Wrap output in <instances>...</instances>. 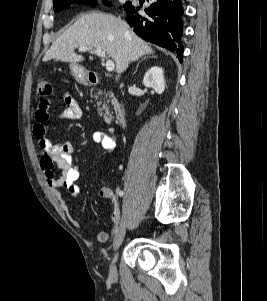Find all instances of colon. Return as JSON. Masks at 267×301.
I'll return each instance as SVG.
<instances>
[{
  "mask_svg": "<svg viewBox=\"0 0 267 301\" xmlns=\"http://www.w3.org/2000/svg\"><path fill=\"white\" fill-rule=\"evenodd\" d=\"M51 92H52V87L49 82L43 80L38 83L36 88L37 96L41 98H46L51 94ZM109 200L113 201L112 199Z\"/></svg>",
  "mask_w": 267,
  "mask_h": 301,
  "instance_id": "colon-1",
  "label": "colon"
}]
</instances>
